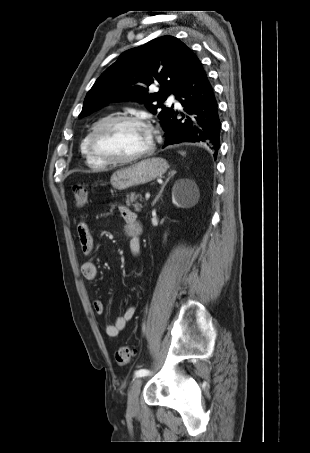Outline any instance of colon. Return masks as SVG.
<instances>
[{"mask_svg":"<svg viewBox=\"0 0 310 453\" xmlns=\"http://www.w3.org/2000/svg\"><path fill=\"white\" fill-rule=\"evenodd\" d=\"M74 200L77 207H84L88 203V192L83 185L73 186ZM133 356V351L129 346L120 347L115 353L116 362L119 365H127Z\"/></svg>","mask_w":310,"mask_h":453,"instance_id":"colon-1","label":"colon"}]
</instances>
